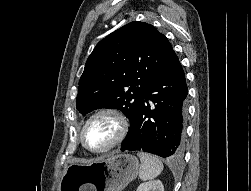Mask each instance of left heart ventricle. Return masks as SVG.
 <instances>
[{
    "mask_svg": "<svg viewBox=\"0 0 251 191\" xmlns=\"http://www.w3.org/2000/svg\"><path fill=\"white\" fill-rule=\"evenodd\" d=\"M118 132L115 120L109 115L92 118L82 132L84 147L93 152L106 149L115 139Z\"/></svg>",
    "mask_w": 251,
    "mask_h": 191,
    "instance_id": "obj_1",
    "label": "left heart ventricle"
}]
</instances>
